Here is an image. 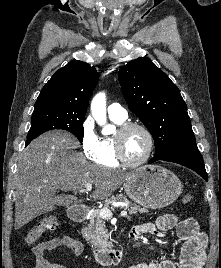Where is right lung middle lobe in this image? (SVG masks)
Instances as JSON below:
<instances>
[{"mask_svg": "<svg viewBox=\"0 0 221 268\" xmlns=\"http://www.w3.org/2000/svg\"><path fill=\"white\" fill-rule=\"evenodd\" d=\"M84 118L85 114L57 109L34 111L27 139H34L49 130L61 129L71 132L82 142L84 134L82 123Z\"/></svg>", "mask_w": 221, "mask_h": 268, "instance_id": "obj_1", "label": "right lung middle lobe"}]
</instances>
